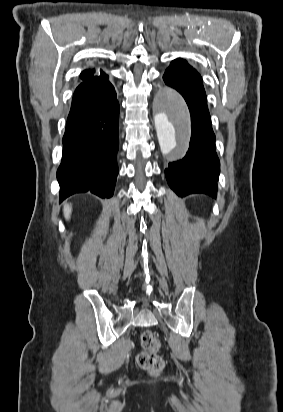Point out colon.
I'll list each match as a JSON object with an SVG mask.
<instances>
[{
	"label": "colon",
	"instance_id": "1",
	"mask_svg": "<svg viewBox=\"0 0 283 412\" xmlns=\"http://www.w3.org/2000/svg\"><path fill=\"white\" fill-rule=\"evenodd\" d=\"M140 342L143 350L137 356L139 367L152 375H157L164 368V361L159 355L160 341L152 331H144Z\"/></svg>",
	"mask_w": 283,
	"mask_h": 412
}]
</instances>
